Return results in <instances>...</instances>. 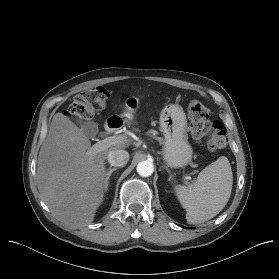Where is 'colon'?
I'll return each instance as SVG.
<instances>
[{
	"label": "colon",
	"mask_w": 279,
	"mask_h": 279,
	"mask_svg": "<svg viewBox=\"0 0 279 279\" xmlns=\"http://www.w3.org/2000/svg\"><path fill=\"white\" fill-rule=\"evenodd\" d=\"M108 99L109 93L104 87L84 90L75 96L66 114L77 120H88L94 113L106 107ZM188 118L192 135L203 139L209 150L226 147L227 137L222 124L209 119V111L202 102L198 100L189 102Z\"/></svg>",
	"instance_id": "5ec220e1"
}]
</instances>
